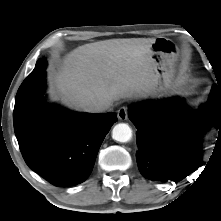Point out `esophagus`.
<instances>
[{
  "label": "esophagus",
  "instance_id": "obj_1",
  "mask_svg": "<svg viewBox=\"0 0 221 221\" xmlns=\"http://www.w3.org/2000/svg\"><path fill=\"white\" fill-rule=\"evenodd\" d=\"M117 116L120 120L124 121L128 118V107L122 106L117 111Z\"/></svg>",
  "mask_w": 221,
  "mask_h": 221
}]
</instances>
